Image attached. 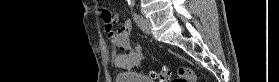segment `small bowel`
Returning <instances> with one entry per match:
<instances>
[{"mask_svg":"<svg viewBox=\"0 0 279 82\" xmlns=\"http://www.w3.org/2000/svg\"><path fill=\"white\" fill-rule=\"evenodd\" d=\"M117 21L118 17L114 15L111 23L104 24V29L107 31L111 42L123 51L114 55L115 66L131 70L140 63L142 59V49L139 44H135V46L132 47L129 41L132 23L126 21L119 29L114 30L113 26Z\"/></svg>","mask_w":279,"mask_h":82,"instance_id":"c3829d8e","label":"small bowel"}]
</instances>
